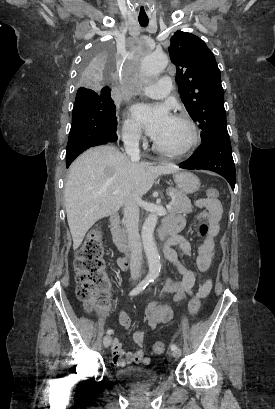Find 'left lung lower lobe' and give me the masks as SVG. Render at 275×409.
Returning <instances> with one entry per match:
<instances>
[{
  "mask_svg": "<svg viewBox=\"0 0 275 409\" xmlns=\"http://www.w3.org/2000/svg\"><path fill=\"white\" fill-rule=\"evenodd\" d=\"M180 167L214 171L222 175L234 190L236 173L229 136H218L202 143Z\"/></svg>",
  "mask_w": 275,
  "mask_h": 409,
  "instance_id": "obj_1",
  "label": "left lung lower lobe"
}]
</instances>
